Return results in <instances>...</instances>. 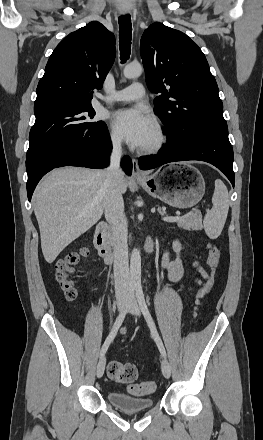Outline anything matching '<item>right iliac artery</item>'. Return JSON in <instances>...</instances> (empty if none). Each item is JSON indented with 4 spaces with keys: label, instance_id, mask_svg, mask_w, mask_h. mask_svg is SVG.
<instances>
[{
    "label": "right iliac artery",
    "instance_id": "obj_1",
    "mask_svg": "<svg viewBox=\"0 0 263 440\" xmlns=\"http://www.w3.org/2000/svg\"><path fill=\"white\" fill-rule=\"evenodd\" d=\"M133 297H134V288H131L129 290L126 306L123 309V311L119 314V316L117 317V319H116V321H115V323H114V325H113V327H112L108 337L106 338V340H105V342H104V344H103V346L101 348V351H100V356L101 357L106 353V351L108 350L109 345L114 340V338H115V336L117 334L118 329L122 325V323H123V321H124V319H125V317L127 315V312H128V309H129V306L131 304V301H132Z\"/></svg>",
    "mask_w": 263,
    "mask_h": 440
}]
</instances>
